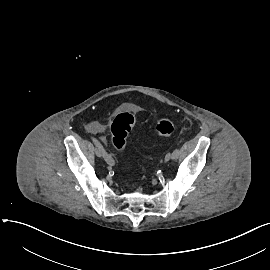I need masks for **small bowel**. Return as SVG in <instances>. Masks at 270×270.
<instances>
[{
    "mask_svg": "<svg viewBox=\"0 0 270 270\" xmlns=\"http://www.w3.org/2000/svg\"><path fill=\"white\" fill-rule=\"evenodd\" d=\"M89 130L94 133L98 134L102 139H105V131L106 127L104 124L99 122H92L89 124Z\"/></svg>",
    "mask_w": 270,
    "mask_h": 270,
    "instance_id": "c3829d8e",
    "label": "small bowel"
}]
</instances>
